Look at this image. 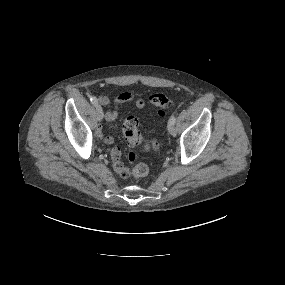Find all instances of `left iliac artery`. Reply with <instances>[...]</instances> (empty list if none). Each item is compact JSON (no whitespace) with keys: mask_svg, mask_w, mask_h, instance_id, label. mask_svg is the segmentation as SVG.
Instances as JSON below:
<instances>
[{"mask_svg":"<svg viewBox=\"0 0 285 285\" xmlns=\"http://www.w3.org/2000/svg\"><path fill=\"white\" fill-rule=\"evenodd\" d=\"M169 122L176 123V117L173 115L170 117Z\"/></svg>","mask_w":285,"mask_h":285,"instance_id":"obj_1","label":"left iliac artery"}]
</instances>
